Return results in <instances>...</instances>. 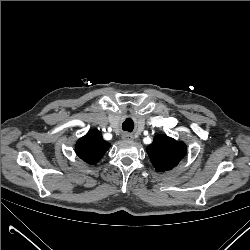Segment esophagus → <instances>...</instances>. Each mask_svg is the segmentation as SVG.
<instances>
[{
  "label": "esophagus",
  "mask_w": 250,
  "mask_h": 250,
  "mask_svg": "<svg viewBox=\"0 0 250 250\" xmlns=\"http://www.w3.org/2000/svg\"><path fill=\"white\" fill-rule=\"evenodd\" d=\"M122 139L127 142H132L134 140V137L132 134L129 133H123Z\"/></svg>",
  "instance_id": "34e87169"
}]
</instances>
